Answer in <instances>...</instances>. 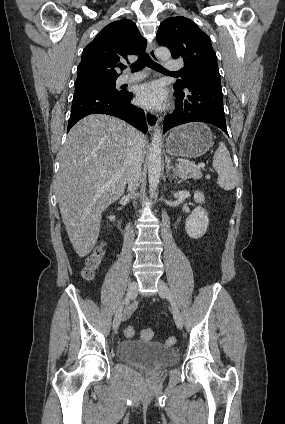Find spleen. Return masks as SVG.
I'll return each instance as SVG.
<instances>
[{"instance_id":"obj_1","label":"spleen","mask_w":285,"mask_h":424,"mask_svg":"<svg viewBox=\"0 0 285 424\" xmlns=\"http://www.w3.org/2000/svg\"><path fill=\"white\" fill-rule=\"evenodd\" d=\"M213 168L218 173L217 184L226 191H231L237 184V174L230 153L223 142L219 143L213 157Z\"/></svg>"}]
</instances>
